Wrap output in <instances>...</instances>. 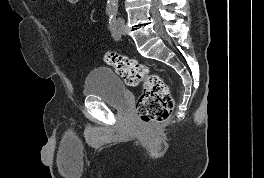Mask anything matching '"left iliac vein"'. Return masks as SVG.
I'll return each mask as SVG.
<instances>
[{"mask_svg":"<svg viewBox=\"0 0 264 178\" xmlns=\"http://www.w3.org/2000/svg\"><path fill=\"white\" fill-rule=\"evenodd\" d=\"M117 28H118L119 35L125 34V22L122 18L117 19Z\"/></svg>","mask_w":264,"mask_h":178,"instance_id":"left-iliac-vein-1","label":"left iliac vein"}]
</instances>
